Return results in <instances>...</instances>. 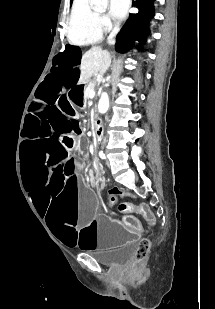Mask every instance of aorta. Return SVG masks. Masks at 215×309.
<instances>
[{"label":"aorta","mask_w":215,"mask_h":309,"mask_svg":"<svg viewBox=\"0 0 215 309\" xmlns=\"http://www.w3.org/2000/svg\"><path fill=\"white\" fill-rule=\"evenodd\" d=\"M91 6H93V8H102V10H104V8H107L108 6V0H91ZM108 108H109V96L107 92H103L99 100L98 110L103 114V112H107Z\"/></svg>","instance_id":"aorta-1"}]
</instances>
